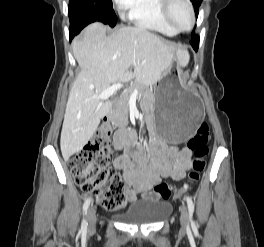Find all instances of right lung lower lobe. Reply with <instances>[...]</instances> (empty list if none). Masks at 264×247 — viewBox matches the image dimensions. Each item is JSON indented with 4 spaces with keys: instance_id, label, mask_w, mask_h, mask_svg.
<instances>
[{
    "instance_id": "1",
    "label": "right lung lower lobe",
    "mask_w": 264,
    "mask_h": 247,
    "mask_svg": "<svg viewBox=\"0 0 264 247\" xmlns=\"http://www.w3.org/2000/svg\"><path fill=\"white\" fill-rule=\"evenodd\" d=\"M88 24H89L88 18L86 17L70 20V28H69L70 40H72V38L75 35H77Z\"/></svg>"
}]
</instances>
